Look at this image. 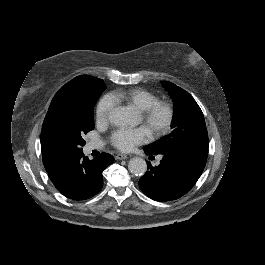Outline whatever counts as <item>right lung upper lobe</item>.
<instances>
[{
    "label": "right lung upper lobe",
    "instance_id": "right-lung-upper-lobe-1",
    "mask_svg": "<svg viewBox=\"0 0 265 265\" xmlns=\"http://www.w3.org/2000/svg\"><path fill=\"white\" fill-rule=\"evenodd\" d=\"M94 77L92 76H89V75H81V76H78V77H75L74 79H72L71 81H69L68 83H66L54 96V98L52 99L51 101V104L49 106V109H48V112H47V115L44 119V122H43V126H42V129L45 127L46 125V122H47V119L49 117V115L52 113V111L57 107L64 91L69 87L71 86L72 84L78 82V81H81V80H85V79H92ZM42 149V147H41ZM42 159H43V164H44V167L46 170L52 168L53 166L61 163V162H58V161H55L53 159H51L47 154L46 152L42 149Z\"/></svg>",
    "mask_w": 265,
    "mask_h": 265
}]
</instances>
